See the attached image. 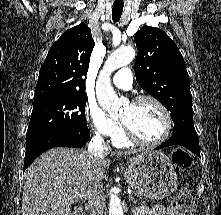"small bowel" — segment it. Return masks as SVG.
Here are the masks:
<instances>
[{
	"instance_id": "small-bowel-1",
	"label": "small bowel",
	"mask_w": 221,
	"mask_h": 215,
	"mask_svg": "<svg viewBox=\"0 0 221 215\" xmlns=\"http://www.w3.org/2000/svg\"><path fill=\"white\" fill-rule=\"evenodd\" d=\"M134 215H180L175 207H164L161 205L154 207H138L134 211Z\"/></svg>"
}]
</instances>
